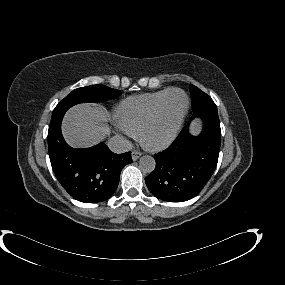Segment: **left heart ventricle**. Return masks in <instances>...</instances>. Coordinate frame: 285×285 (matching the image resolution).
Returning a JSON list of instances; mask_svg holds the SVG:
<instances>
[{"label":"left heart ventricle","instance_id":"b2bd125f","mask_svg":"<svg viewBox=\"0 0 285 285\" xmlns=\"http://www.w3.org/2000/svg\"><path fill=\"white\" fill-rule=\"evenodd\" d=\"M185 103V97L180 92H173L169 96L160 121L147 134L149 142H158L171 135L185 108Z\"/></svg>","mask_w":285,"mask_h":285}]
</instances>
